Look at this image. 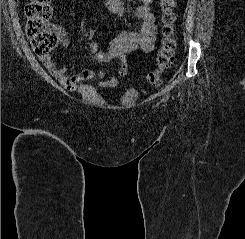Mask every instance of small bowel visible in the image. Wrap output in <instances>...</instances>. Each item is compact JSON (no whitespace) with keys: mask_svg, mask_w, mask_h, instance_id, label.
<instances>
[{"mask_svg":"<svg viewBox=\"0 0 245 239\" xmlns=\"http://www.w3.org/2000/svg\"><path fill=\"white\" fill-rule=\"evenodd\" d=\"M154 0H140V4L130 10L123 0H106L107 9L114 15L124 17L131 14L140 20L135 31L120 32L111 39L107 50L100 49L96 41H89L87 49L92 59L100 63L119 61L117 74L124 77L128 73L127 55L134 51L149 53L153 51L156 41V16L153 10ZM74 15V12L70 13ZM62 46L68 48L70 43L65 33H62ZM95 30L86 32V37L92 39ZM41 62L59 83L69 91H76L85 81L98 80L103 88H114L118 85V76L106 78L103 70L93 71L84 69L75 75H67L66 68L58 67L51 56L40 57Z\"/></svg>","mask_w":245,"mask_h":239,"instance_id":"1","label":"small bowel"}]
</instances>
